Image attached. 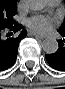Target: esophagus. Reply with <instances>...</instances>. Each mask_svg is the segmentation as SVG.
I'll list each match as a JSON object with an SVG mask.
<instances>
[{"label": "esophagus", "instance_id": "34e87169", "mask_svg": "<svg viewBox=\"0 0 65 89\" xmlns=\"http://www.w3.org/2000/svg\"><path fill=\"white\" fill-rule=\"evenodd\" d=\"M30 35L36 37V38H39V39H44L45 36L44 35H40V34H36V33H33V32H30Z\"/></svg>", "mask_w": 65, "mask_h": 89}]
</instances>
